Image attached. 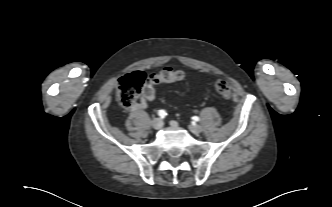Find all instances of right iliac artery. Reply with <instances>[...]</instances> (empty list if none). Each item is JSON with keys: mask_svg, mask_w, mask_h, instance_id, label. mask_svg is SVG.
Returning <instances> with one entry per match:
<instances>
[{"mask_svg": "<svg viewBox=\"0 0 332 207\" xmlns=\"http://www.w3.org/2000/svg\"><path fill=\"white\" fill-rule=\"evenodd\" d=\"M158 115H159V117L164 118L165 115H166V111L165 110H159Z\"/></svg>", "mask_w": 332, "mask_h": 207, "instance_id": "1", "label": "right iliac artery"}]
</instances>
